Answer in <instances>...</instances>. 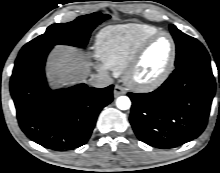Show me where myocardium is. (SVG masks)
<instances>
[{"mask_svg":"<svg viewBox=\"0 0 220 173\" xmlns=\"http://www.w3.org/2000/svg\"><path fill=\"white\" fill-rule=\"evenodd\" d=\"M160 37H168L171 43V54L168 65L157 77H155L150 81L137 80L134 77V74L140 65L141 59L145 51L154 41H156ZM176 57H177V46L173 36L166 31L158 32L146 38L135 50L132 58L130 59L129 63L127 64V66L123 71V80L133 90L139 92L153 91L158 87H160L169 78V76L174 70Z\"/></svg>","mask_w":220,"mask_h":173,"instance_id":"obj_1","label":"myocardium"}]
</instances>
